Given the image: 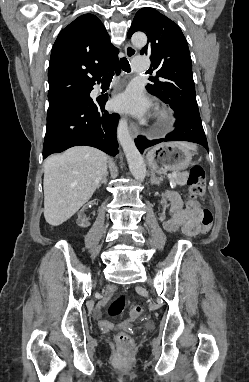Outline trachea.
<instances>
[{
  "mask_svg": "<svg viewBox=\"0 0 249 382\" xmlns=\"http://www.w3.org/2000/svg\"><path fill=\"white\" fill-rule=\"evenodd\" d=\"M120 63H121L122 70H124L125 72H130V70H131L130 69V64H129V62H128V60L126 58H121ZM113 75H114L113 72H109L108 74H106L104 76V78H112Z\"/></svg>",
  "mask_w": 249,
  "mask_h": 382,
  "instance_id": "3493384b",
  "label": "trachea"
}]
</instances>
